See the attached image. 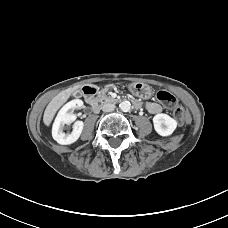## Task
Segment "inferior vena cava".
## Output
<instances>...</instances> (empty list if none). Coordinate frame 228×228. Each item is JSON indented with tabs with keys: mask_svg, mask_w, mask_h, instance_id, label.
<instances>
[{
	"mask_svg": "<svg viewBox=\"0 0 228 228\" xmlns=\"http://www.w3.org/2000/svg\"><path fill=\"white\" fill-rule=\"evenodd\" d=\"M114 109H115V105L113 103H105L102 106V110L104 112H112V111H114Z\"/></svg>",
	"mask_w": 228,
	"mask_h": 228,
	"instance_id": "obj_1",
	"label": "inferior vena cava"
}]
</instances>
